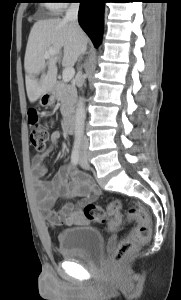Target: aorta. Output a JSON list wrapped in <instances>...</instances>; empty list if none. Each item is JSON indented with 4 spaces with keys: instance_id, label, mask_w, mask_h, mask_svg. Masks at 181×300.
Segmentation results:
<instances>
[{
    "instance_id": "obj_1",
    "label": "aorta",
    "mask_w": 181,
    "mask_h": 300,
    "mask_svg": "<svg viewBox=\"0 0 181 300\" xmlns=\"http://www.w3.org/2000/svg\"><path fill=\"white\" fill-rule=\"evenodd\" d=\"M85 119H86L85 99L83 97H80L75 110L74 134L76 138H80L84 134Z\"/></svg>"
}]
</instances>
